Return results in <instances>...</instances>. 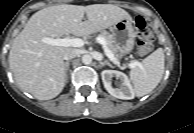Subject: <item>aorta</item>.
Segmentation results:
<instances>
[{
	"label": "aorta",
	"instance_id": "762f6f07",
	"mask_svg": "<svg viewBox=\"0 0 194 133\" xmlns=\"http://www.w3.org/2000/svg\"><path fill=\"white\" fill-rule=\"evenodd\" d=\"M92 62V57L89 54H85L82 56V63L85 65H89Z\"/></svg>",
	"mask_w": 194,
	"mask_h": 133
}]
</instances>
